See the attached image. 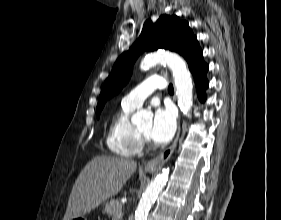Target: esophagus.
Masks as SVG:
<instances>
[{
  "mask_svg": "<svg viewBox=\"0 0 281 220\" xmlns=\"http://www.w3.org/2000/svg\"><path fill=\"white\" fill-rule=\"evenodd\" d=\"M180 121H179V125H178V131L175 137L174 142L172 143V145L170 147H168L166 150H164L161 154H159L158 156L154 157L153 159H151L147 164H145V171L147 172H155L158 169H160L163 164L165 162L168 161V159L171 157L173 151L176 148L179 136H180Z\"/></svg>",
  "mask_w": 281,
  "mask_h": 220,
  "instance_id": "esophagus-1",
  "label": "esophagus"
}]
</instances>
